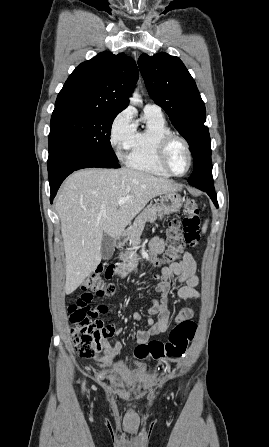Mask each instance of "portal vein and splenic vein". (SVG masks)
<instances>
[{
  "mask_svg": "<svg viewBox=\"0 0 269 447\" xmlns=\"http://www.w3.org/2000/svg\"><path fill=\"white\" fill-rule=\"evenodd\" d=\"M127 200H129V198H120V200H118L119 206H122V204H125V202H127Z\"/></svg>",
  "mask_w": 269,
  "mask_h": 447,
  "instance_id": "1",
  "label": "portal vein and splenic vein"
}]
</instances>
